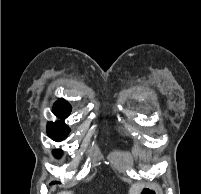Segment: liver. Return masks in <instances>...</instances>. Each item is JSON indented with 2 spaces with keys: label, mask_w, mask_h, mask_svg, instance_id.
Segmentation results:
<instances>
[{
  "label": "liver",
  "mask_w": 201,
  "mask_h": 194,
  "mask_svg": "<svg viewBox=\"0 0 201 194\" xmlns=\"http://www.w3.org/2000/svg\"><path fill=\"white\" fill-rule=\"evenodd\" d=\"M142 188V185L140 184H134L132 185L131 189L129 190V194H139L140 190ZM57 194H73L72 191H61Z\"/></svg>",
  "instance_id": "1"
}]
</instances>
